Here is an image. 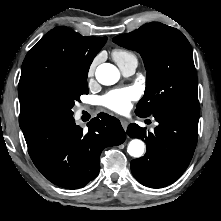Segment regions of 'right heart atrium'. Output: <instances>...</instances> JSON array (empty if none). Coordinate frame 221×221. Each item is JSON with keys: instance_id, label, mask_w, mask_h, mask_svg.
I'll use <instances>...</instances> for the list:
<instances>
[{"instance_id": "d8ad5b80", "label": "right heart atrium", "mask_w": 221, "mask_h": 221, "mask_svg": "<svg viewBox=\"0 0 221 221\" xmlns=\"http://www.w3.org/2000/svg\"><path fill=\"white\" fill-rule=\"evenodd\" d=\"M95 67H96V61L94 60L88 68V76L89 77H91L94 74Z\"/></svg>"}]
</instances>
